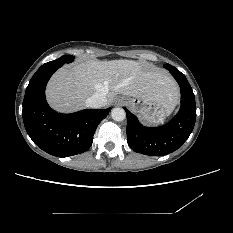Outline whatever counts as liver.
<instances>
[{"instance_id": "obj_1", "label": "liver", "mask_w": 233, "mask_h": 233, "mask_svg": "<svg viewBox=\"0 0 233 233\" xmlns=\"http://www.w3.org/2000/svg\"><path fill=\"white\" fill-rule=\"evenodd\" d=\"M95 93H103L108 102L123 94L155 100L170 108L179 98L178 87L169 74L132 60H86L65 66L52 76L46 89L49 105L63 113L82 109Z\"/></svg>"}]
</instances>
